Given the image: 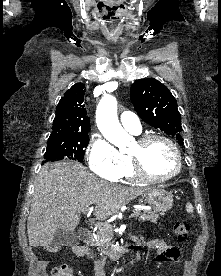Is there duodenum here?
Returning <instances> with one entry per match:
<instances>
[{
	"label": "duodenum",
	"mask_w": 221,
	"mask_h": 276,
	"mask_svg": "<svg viewBox=\"0 0 221 276\" xmlns=\"http://www.w3.org/2000/svg\"><path fill=\"white\" fill-rule=\"evenodd\" d=\"M79 237H80V240L84 244H88L92 239V234L88 229L83 228L79 231ZM118 253H119V250H109V251H107V254L112 255V256H115Z\"/></svg>",
	"instance_id": "410a0bca"
}]
</instances>
